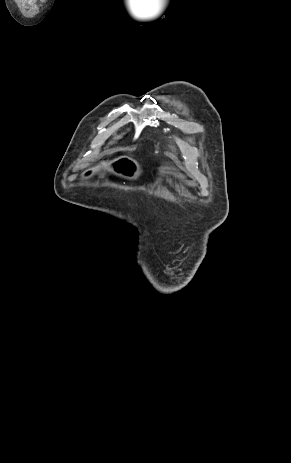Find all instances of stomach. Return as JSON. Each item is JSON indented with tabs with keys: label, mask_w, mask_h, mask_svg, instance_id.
<instances>
[{
	"label": "stomach",
	"mask_w": 291,
	"mask_h": 463,
	"mask_svg": "<svg viewBox=\"0 0 291 463\" xmlns=\"http://www.w3.org/2000/svg\"><path fill=\"white\" fill-rule=\"evenodd\" d=\"M102 164H107V159H102ZM102 164H97V169H102ZM107 169L109 171H117L128 179L136 178L141 172L138 163L127 157H122L116 162H109L107 164ZM82 180L87 182L89 177L84 175Z\"/></svg>",
	"instance_id": "0dacf381"
}]
</instances>
